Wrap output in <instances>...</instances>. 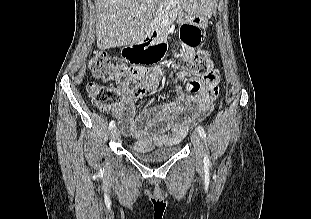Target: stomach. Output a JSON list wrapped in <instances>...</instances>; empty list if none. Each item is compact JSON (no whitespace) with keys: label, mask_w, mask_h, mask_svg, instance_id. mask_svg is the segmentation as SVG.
<instances>
[{"label":"stomach","mask_w":311,"mask_h":219,"mask_svg":"<svg viewBox=\"0 0 311 219\" xmlns=\"http://www.w3.org/2000/svg\"><path fill=\"white\" fill-rule=\"evenodd\" d=\"M184 12L180 13L178 16L179 23L190 22L195 25L204 26L207 22V19L203 15L198 13H191L188 9L191 7L189 0H181Z\"/></svg>","instance_id":"stomach-1"}]
</instances>
